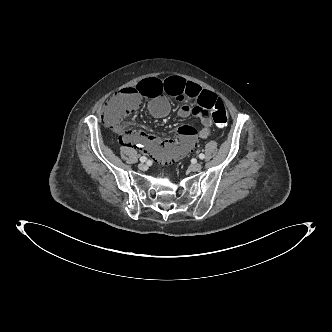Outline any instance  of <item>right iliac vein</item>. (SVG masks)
Instances as JSON below:
<instances>
[{"mask_svg": "<svg viewBox=\"0 0 332 332\" xmlns=\"http://www.w3.org/2000/svg\"><path fill=\"white\" fill-rule=\"evenodd\" d=\"M138 168L140 169V170H146L147 168H148V166H147V164H145V163H139L138 164Z\"/></svg>", "mask_w": 332, "mask_h": 332, "instance_id": "1", "label": "right iliac vein"}]
</instances>
